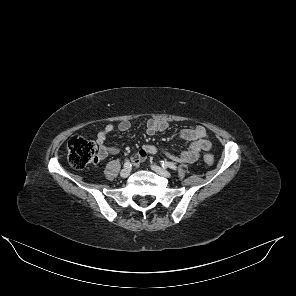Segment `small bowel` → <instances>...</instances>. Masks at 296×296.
<instances>
[{"label": "small bowel", "instance_id": "1", "mask_svg": "<svg viewBox=\"0 0 296 296\" xmlns=\"http://www.w3.org/2000/svg\"><path fill=\"white\" fill-rule=\"evenodd\" d=\"M145 127L148 135H154L155 133L165 131L168 128V123L162 120L149 118L146 120ZM130 128L131 122L128 120L121 121L117 126V129L120 132H127ZM114 129L115 126L113 124H108L97 134L96 142L99 147L100 159H104L109 155H114L119 152V149L116 146H109L106 144L108 135L113 132ZM179 137L190 141V146L183 150L179 155H174L169 151L165 152L170 159L179 163H191L196 161L202 151H208L212 146L207 130L203 126H197L194 129L181 130ZM156 153L157 148L155 145L145 144L132 157V162L136 167H139L146 161L148 155H154Z\"/></svg>", "mask_w": 296, "mask_h": 296}]
</instances>
